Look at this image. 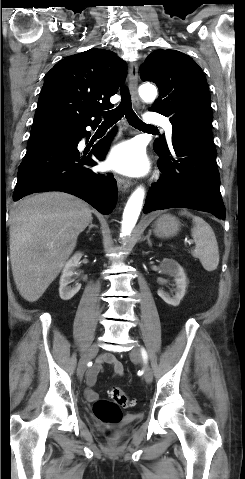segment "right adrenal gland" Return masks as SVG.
Wrapping results in <instances>:
<instances>
[{"mask_svg":"<svg viewBox=\"0 0 245 479\" xmlns=\"http://www.w3.org/2000/svg\"><path fill=\"white\" fill-rule=\"evenodd\" d=\"M94 227H95V228H98V227H97L96 225H94V224L92 223V221H91V222H90V225H89V227H88V230L86 231V233L88 234V233L90 232V230H91L92 228H94Z\"/></svg>","mask_w":245,"mask_h":479,"instance_id":"right-adrenal-gland-1","label":"right adrenal gland"}]
</instances>
